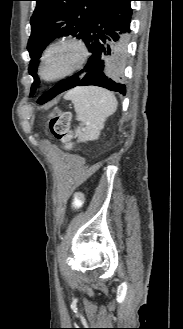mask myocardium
Masks as SVG:
<instances>
[{
  "label": "myocardium",
  "instance_id": "myocardium-1",
  "mask_svg": "<svg viewBox=\"0 0 183 329\" xmlns=\"http://www.w3.org/2000/svg\"><path fill=\"white\" fill-rule=\"evenodd\" d=\"M65 43H71L78 47V49L80 50L79 61L77 62V64L74 67H72L68 71H66L58 76L51 77V78L46 77L43 73V67H44V63H45L47 55L53 48H55L61 44H65ZM88 56H89L88 48L81 39H79L77 37H73V36H66V37L60 38V39L54 41L53 43H51L50 45H48L45 48V50L43 51V53L41 55V59H40L39 75L43 80L48 81V82H53V81H58V80L64 79V78L74 74L78 70H80L86 63Z\"/></svg>",
  "mask_w": 183,
  "mask_h": 329
}]
</instances>
